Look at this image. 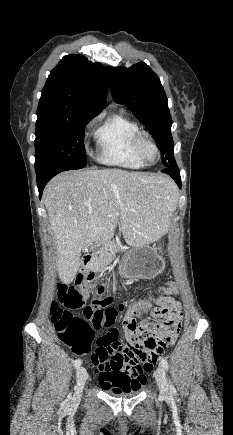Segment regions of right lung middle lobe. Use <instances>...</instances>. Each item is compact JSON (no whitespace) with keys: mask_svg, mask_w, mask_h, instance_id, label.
<instances>
[{"mask_svg":"<svg viewBox=\"0 0 233 435\" xmlns=\"http://www.w3.org/2000/svg\"><path fill=\"white\" fill-rule=\"evenodd\" d=\"M94 116L43 117L36 122V172L85 167L84 128Z\"/></svg>","mask_w":233,"mask_h":435,"instance_id":"obj_1","label":"right lung middle lobe"}]
</instances>
